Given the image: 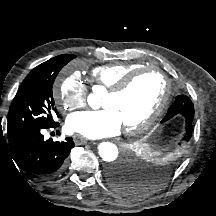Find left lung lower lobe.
<instances>
[{
	"label": "left lung lower lobe",
	"mask_w": 216,
	"mask_h": 216,
	"mask_svg": "<svg viewBox=\"0 0 216 216\" xmlns=\"http://www.w3.org/2000/svg\"><path fill=\"white\" fill-rule=\"evenodd\" d=\"M172 113V112H171ZM109 182L119 191L130 194L133 190L134 177L129 171L113 166L107 171Z\"/></svg>",
	"instance_id": "left-lung-lower-lobe-1"
}]
</instances>
